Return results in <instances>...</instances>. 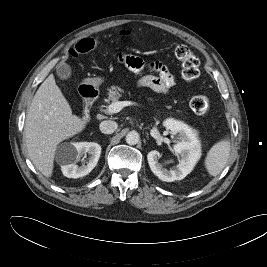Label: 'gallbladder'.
Wrapping results in <instances>:
<instances>
[{
    "mask_svg": "<svg viewBox=\"0 0 267 267\" xmlns=\"http://www.w3.org/2000/svg\"><path fill=\"white\" fill-rule=\"evenodd\" d=\"M56 73L60 80H66L70 78L72 70L66 63H60L56 67Z\"/></svg>",
    "mask_w": 267,
    "mask_h": 267,
    "instance_id": "gallbladder-1",
    "label": "gallbladder"
}]
</instances>
